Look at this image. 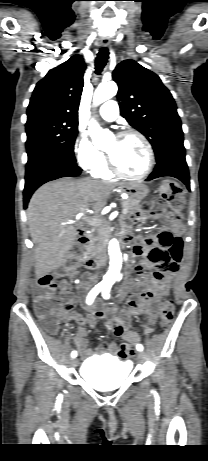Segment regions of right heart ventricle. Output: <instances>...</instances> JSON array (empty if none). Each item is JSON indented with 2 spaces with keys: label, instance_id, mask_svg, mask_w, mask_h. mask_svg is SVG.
Returning <instances> with one entry per match:
<instances>
[{
  "label": "right heart ventricle",
  "instance_id": "right-heart-ventricle-1",
  "mask_svg": "<svg viewBox=\"0 0 208 461\" xmlns=\"http://www.w3.org/2000/svg\"><path fill=\"white\" fill-rule=\"evenodd\" d=\"M92 175L104 180H110L113 178V174L108 169L106 158L103 155L98 165L92 169Z\"/></svg>",
  "mask_w": 208,
  "mask_h": 461
}]
</instances>
